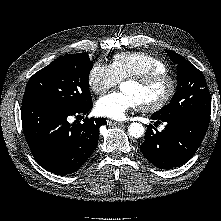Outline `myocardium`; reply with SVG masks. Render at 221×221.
Here are the masks:
<instances>
[{
    "mask_svg": "<svg viewBox=\"0 0 221 221\" xmlns=\"http://www.w3.org/2000/svg\"><path fill=\"white\" fill-rule=\"evenodd\" d=\"M160 81H163L167 84V91L165 95L155 103L139 104L138 108L141 111L153 113L163 109L172 100L176 93V80L167 72L149 73L125 79V82H132L141 87H147Z\"/></svg>",
    "mask_w": 221,
    "mask_h": 221,
    "instance_id": "myocardium-1",
    "label": "myocardium"
}]
</instances>
